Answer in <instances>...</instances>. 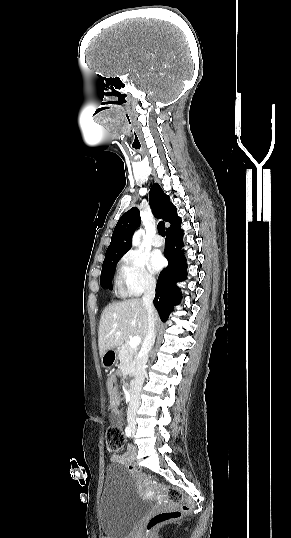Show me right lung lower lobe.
Wrapping results in <instances>:
<instances>
[{"label": "right lung lower lobe", "instance_id": "1", "mask_svg": "<svg viewBox=\"0 0 291 538\" xmlns=\"http://www.w3.org/2000/svg\"><path fill=\"white\" fill-rule=\"evenodd\" d=\"M183 230L179 226L166 231L164 256L168 266L160 272L156 285L154 306L162 320H167L173 306L180 303L182 294L176 283L186 279L185 257L183 247Z\"/></svg>", "mask_w": 291, "mask_h": 538}]
</instances>
